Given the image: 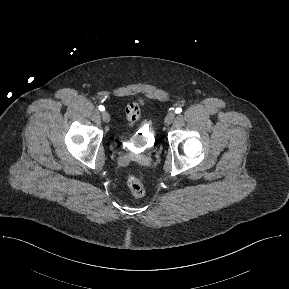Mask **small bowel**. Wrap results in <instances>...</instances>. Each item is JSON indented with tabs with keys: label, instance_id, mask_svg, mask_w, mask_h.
Instances as JSON below:
<instances>
[{
	"label": "small bowel",
	"instance_id": "1",
	"mask_svg": "<svg viewBox=\"0 0 289 289\" xmlns=\"http://www.w3.org/2000/svg\"><path fill=\"white\" fill-rule=\"evenodd\" d=\"M107 101H108L109 103H111L112 105L116 106V104L114 103V101H113V100H111V99H108Z\"/></svg>",
	"mask_w": 289,
	"mask_h": 289
}]
</instances>
